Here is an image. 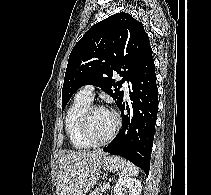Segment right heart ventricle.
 Segmentation results:
<instances>
[{"mask_svg":"<svg viewBox=\"0 0 211 195\" xmlns=\"http://www.w3.org/2000/svg\"><path fill=\"white\" fill-rule=\"evenodd\" d=\"M89 100L79 94L69 106L65 117V128L71 145L77 150H85L90 146L83 140L79 131V121L84 110L91 104Z\"/></svg>","mask_w":211,"mask_h":195,"instance_id":"right-heart-ventricle-1","label":"right heart ventricle"}]
</instances>
